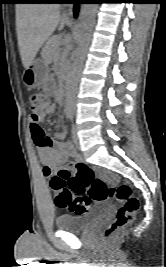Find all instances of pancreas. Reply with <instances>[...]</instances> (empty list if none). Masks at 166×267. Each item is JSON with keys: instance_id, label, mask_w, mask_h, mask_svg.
Segmentation results:
<instances>
[{"instance_id": "1", "label": "pancreas", "mask_w": 166, "mask_h": 267, "mask_svg": "<svg viewBox=\"0 0 166 267\" xmlns=\"http://www.w3.org/2000/svg\"><path fill=\"white\" fill-rule=\"evenodd\" d=\"M60 36L51 37L42 50V58L47 62L51 63L56 61L59 58L60 52Z\"/></svg>"}]
</instances>
